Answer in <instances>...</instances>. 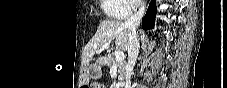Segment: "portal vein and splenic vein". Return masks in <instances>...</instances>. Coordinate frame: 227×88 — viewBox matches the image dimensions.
<instances>
[{"label": "portal vein and splenic vein", "mask_w": 227, "mask_h": 88, "mask_svg": "<svg viewBox=\"0 0 227 88\" xmlns=\"http://www.w3.org/2000/svg\"><path fill=\"white\" fill-rule=\"evenodd\" d=\"M109 45H110V42L106 43V44L103 46V48H106V47H108ZM114 56H115V61H116V62H121V61H123L124 58H125L124 52H123V51H120V50L115 51Z\"/></svg>", "instance_id": "18ae733b"}]
</instances>
